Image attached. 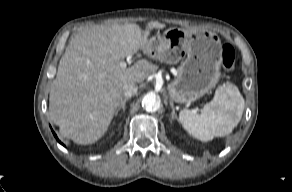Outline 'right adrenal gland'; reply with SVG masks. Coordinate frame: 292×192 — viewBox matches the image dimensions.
Returning <instances> with one entry per match:
<instances>
[{"mask_svg": "<svg viewBox=\"0 0 292 192\" xmlns=\"http://www.w3.org/2000/svg\"><path fill=\"white\" fill-rule=\"evenodd\" d=\"M128 99H129V98H127V97L124 98V99H121L120 104H119V106H118V108H117V110H116V112H115V116L118 115V113H119L120 110H122V113L125 112V109H126L125 104H126V102L128 101Z\"/></svg>", "mask_w": 292, "mask_h": 192, "instance_id": "right-adrenal-gland-1", "label": "right adrenal gland"}]
</instances>
